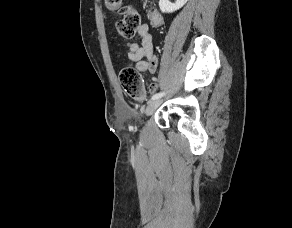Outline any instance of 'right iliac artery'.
<instances>
[{
  "label": "right iliac artery",
  "instance_id": "obj_1",
  "mask_svg": "<svg viewBox=\"0 0 292 228\" xmlns=\"http://www.w3.org/2000/svg\"><path fill=\"white\" fill-rule=\"evenodd\" d=\"M163 95H165V92L156 93L155 95L152 96V100L159 99V98H161Z\"/></svg>",
  "mask_w": 292,
  "mask_h": 228
}]
</instances>
